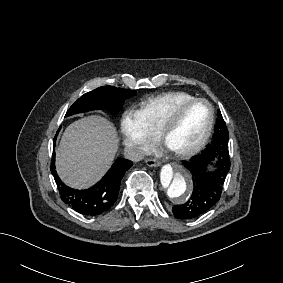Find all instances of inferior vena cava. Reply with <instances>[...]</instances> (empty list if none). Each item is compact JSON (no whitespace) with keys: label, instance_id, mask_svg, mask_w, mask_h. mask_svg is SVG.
Masks as SVG:
<instances>
[{"label":"inferior vena cava","instance_id":"1","mask_svg":"<svg viewBox=\"0 0 283 283\" xmlns=\"http://www.w3.org/2000/svg\"><path fill=\"white\" fill-rule=\"evenodd\" d=\"M145 156V152L138 145H130L124 149V157L130 161L138 162Z\"/></svg>","mask_w":283,"mask_h":283}]
</instances>
